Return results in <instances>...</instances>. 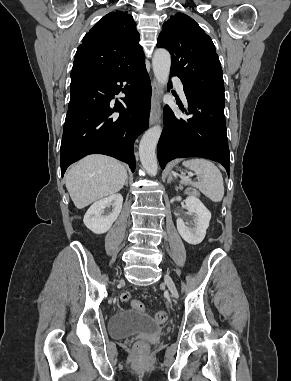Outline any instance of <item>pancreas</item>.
I'll return each mask as SVG.
<instances>
[{
	"label": "pancreas",
	"mask_w": 291,
	"mask_h": 381,
	"mask_svg": "<svg viewBox=\"0 0 291 381\" xmlns=\"http://www.w3.org/2000/svg\"><path fill=\"white\" fill-rule=\"evenodd\" d=\"M182 184H187V182L185 180L181 181Z\"/></svg>",
	"instance_id": "cf45deb5"
}]
</instances>
